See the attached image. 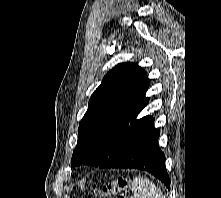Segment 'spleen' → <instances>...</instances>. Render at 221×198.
<instances>
[{
    "instance_id": "obj_1",
    "label": "spleen",
    "mask_w": 221,
    "mask_h": 198,
    "mask_svg": "<svg viewBox=\"0 0 221 198\" xmlns=\"http://www.w3.org/2000/svg\"><path fill=\"white\" fill-rule=\"evenodd\" d=\"M131 190L135 198H165L152 181L143 177H136L131 184Z\"/></svg>"
}]
</instances>
